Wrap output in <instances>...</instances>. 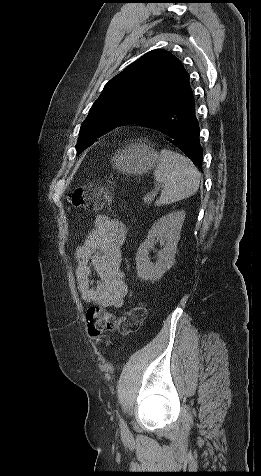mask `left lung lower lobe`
<instances>
[{"instance_id": "obj_1", "label": "left lung lower lobe", "mask_w": 261, "mask_h": 476, "mask_svg": "<svg viewBox=\"0 0 261 476\" xmlns=\"http://www.w3.org/2000/svg\"><path fill=\"white\" fill-rule=\"evenodd\" d=\"M139 124L161 132L170 144L183 151L195 165H202L203 150L199 142L200 128L191 90L168 109Z\"/></svg>"}]
</instances>
